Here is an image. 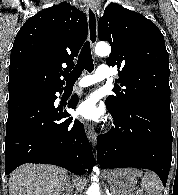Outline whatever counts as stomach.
Masks as SVG:
<instances>
[{"mask_svg":"<svg viewBox=\"0 0 178 195\" xmlns=\"http://www.w3.org/2000/svg\"><path fill=\"white\" fill-rule=\"evenodd\" d=\"M105 177L115 195H132L137 188V178L128 169L109 170Z\"/></svg>","mask_w":178,"mask_h":195,"instance_id":"1","label":"stomach"}]
</instances>
